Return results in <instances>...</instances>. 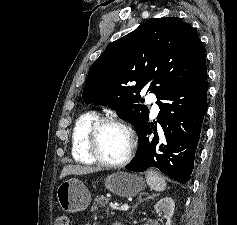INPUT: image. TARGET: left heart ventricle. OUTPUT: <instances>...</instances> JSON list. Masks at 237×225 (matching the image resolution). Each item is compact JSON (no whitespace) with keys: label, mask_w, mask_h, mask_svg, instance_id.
<instances>
[{"label":"left heart ventricle","mask_w":237,"mask_h":225,"mask_svg":"<svg viewBox=\"0 0 237 225\" xmlns=\"http://www.w3.org/2000/svg\"><path fill=\"white\" fill-rule=\"evenodd\" d=\"M99 147L102 156L112 162L122 160L129 149V137L120 127L105 126L99 134Z\"/></svg>","instance_id":"obj_1"}]
</instances>
